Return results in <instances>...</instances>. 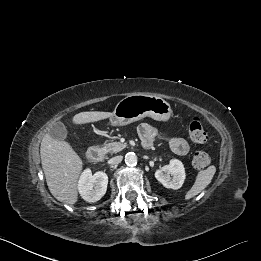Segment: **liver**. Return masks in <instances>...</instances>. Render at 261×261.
<instances>
[{
  "label": "liver",
  "instance_id": "1",
  "mask_svg": "<svg viewBox=\"0 0 261 261\" xmlns=\"http://www.w3.org/2000/svg\"><path fill=\"white\" fill-rule=\"evenodd\" d=\"M112 115L100 111L80 112L72 122L76 125L87 124ZM40 156L51 194L58 201L74 205L78 201V178L83 168L81 158L68 142L53 139L48 133L42 139Z\"/></svg>",
  "mask_w": 261,
  "mask_h": 261
}]
</instances>
